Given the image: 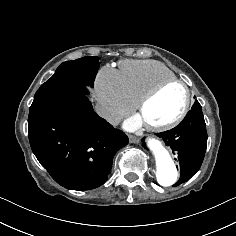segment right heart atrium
<instances>
[{"label":"right heart atrium","mask_w":236,"mask_h":236,"mask_svg":"<svg viewBox=\"0 0 236 236\" xmlns=\"http://www.w3.org/2000/svg\"><path fill=\"white\" fill-rule=\"evenodd\" d=\"M94 94L100 117L109 124H116L135 106L130 97L123 75L105 65L99 69L94 81Z\"/></svg>","instance_id":"obj_1"}]
</instances>
